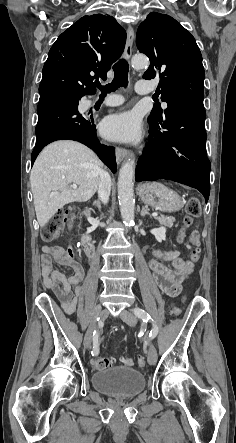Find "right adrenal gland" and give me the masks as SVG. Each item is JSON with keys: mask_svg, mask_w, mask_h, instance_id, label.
Segmentation results:
<instances>
[{"mask_svg": "<svg viewBox=\"0 0 236 443\" xmlns=\"http://www.w3.org/2000/svg\"><path fill=\"white\" fill-rule=\"evenodd\" d=\"M94 206H96L97 208H98V210L100 211L101 210V202L99 201V200H97V201H94Z\"/></svg>", "mask_w": 236, "mask_h": 443, "instance_id": "2a0ac1e0", "label": "right adrenal gland"}]
</instances>
